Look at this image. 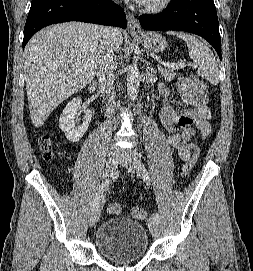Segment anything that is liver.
I'll return each mask as SVG.
<instances>
[{
    "label": "liver",
    "instance_id": "obj_1",
    "mask_svg": "<svg viewBox=\"0 0 253 271\" xmlns=\"http://www.w3.org/2000/svg\"><path fill=\"white\" fill-rule=\"evenodd\" d=\"M101 26L67 22L47 27L34 35L24 50V73L30 116L36 128L65 99L93 80L99 63ZM113 50L123 44L114 28Z\"/></svg>",
    "mask_w": 253,
    "mask_h": 271
}]
</instances>
